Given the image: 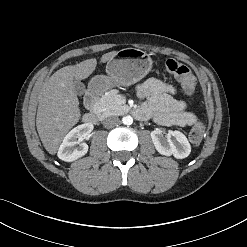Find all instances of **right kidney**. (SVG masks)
<instances>
[{"mask_svg":"<svg viewBox=\"0 0 247 247\" xmlns=\"http://www.w3.org/2000/svg\"><path fill=\"white\" fill-rule=\"evenodd\" d=\"M93 128V124L85 123L72 129L63 139L58 157L65 162H72L84 156L88 152V145L82 141L88 139ZM76 144L79 146L76 147Z\"/></svg>","mask_w":247,"mask_h":247,"instance_id":"right-kidney-1","label":"right kidney"}]
</instances>
